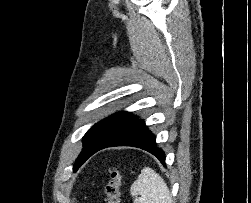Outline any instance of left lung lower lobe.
<instances>
[{"label":"left lung lower lobe","instance_id":"obj_1","mask_svg":"<svg viewBox=\"0 0 251 203\" xmlns=\"http://www.w3.org/2000/svg\"><path fill=\"white\" fill-rule=\"evenodd\" d=\"M112 146H132L143 149L153 154L165 166V153L161 148L156 146L155 135L152 134V132L145 125V122L142 120H135L126 129L114 136L107 143L95 149L88 156V158L97 151ZM77 170L78 169L73 171L75 172Z\"/></svg>","mask_w":251,"mask_h":203}]
</instances>
